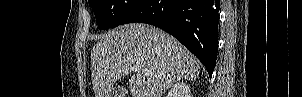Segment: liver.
I'll return each mask as SVG.
<instances>
[{"label": "liver", "mask_w": 302, "mask_h": 97, "mask_svg": "<svg viewBox=\"0 0 302 97\" xmlns=\"http://www.w3.org/2000/svg\"><path fill=\"white\" fill-rule=\"evenodd\" d=\"M91 68L95 97H107L114 84L131 73L132 97H162L176 81H193L200 73L198 59L179 41L143 23L101 35L91 51Z\"/></svg>", "instance_id": "6515ba94"}]
</instances>
